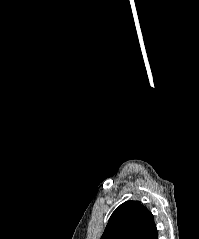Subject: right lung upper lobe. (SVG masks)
I'll use <instances>...</instances> for the list:
<instances>
[{
  "instance_id": "cb5924a9",
  "label": "right lung upper lobe",
  "mask_w": 199,
  "mask_h": 239,
  "mask_svg": "<svg viewBox=\"0 0 199 239\" xmlns=\"http://www.w3.org/2000/svg\"><path fill=\"white\" fill-rule=\"evenodd\" d=\"M154 227L153 215L141 202L127 201L112 213L101 239H143Z\"/></svg>"
}]
</instances>
